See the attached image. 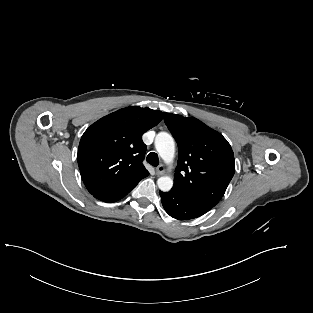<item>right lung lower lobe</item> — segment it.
<instances>
[{
    "label": "right lung lower lobe",
    "instance_id": "right-lung-lower-lobe-1",
    "mask_svg": "<svg viewBox=\"0 0 313 313\" xmlns=\"http://www.w3.org/2000/svg\"><path fill=\"white\" fill-rule=\"evenodd\" d=\"M140 180L141 179H136L127 184L99 191L92 195L103 202L112 203L125 197L139 183Z\"/></svg>",
    "mask_w": 313,
    "mask_h": 313
}]
</instances>
